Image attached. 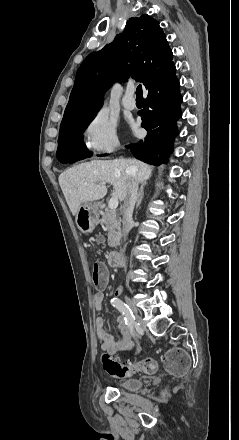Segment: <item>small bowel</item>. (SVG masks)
Masks as SVG:
<instances>
[{
    "label": "small bowel",
    "mask_w": 239,
    "mask_h": 440,
    "mask_svg": "<svg viewBox=\"0 0 239 440\" xmlns=\"http://www.w3.org/2000/svg\"><path fill=\"white\" fill-rule=\"evenodd\" d=\"M107 271V270H106ZM104 300V294L102 291L95 293L94 295V305L97 310H101L102 303ZM124 316H118L116 319L117 327L119 329L120 335L117 339L109 335L104 327L105 321L103 317H97L95 320V327L97 338L101 343L103 351L109 354H115L118 352H123L131 347V335L128 325L125 323Z\"/></svg>",
    "instance_id": "small-bowel-1"
}]
</instances>
